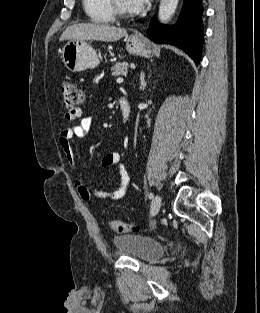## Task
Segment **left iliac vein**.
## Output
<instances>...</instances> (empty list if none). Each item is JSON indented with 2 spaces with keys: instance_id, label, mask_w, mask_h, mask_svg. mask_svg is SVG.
<instances>
[{
  "instance_id": "obj_1",
  "label": "left iliac vein",
  "mask_w": 260,
  "mask_h": 313,
  "mask_svg": "<svg viewBox=\"0 0 260 313\" xmlns=\"http://www.w3.org/2000/svg\"><path fill=\"white\" fill-rule=\"evenodd\" d=\"M160 207H161V197L159 195H156L151 202L150 215L155 216L159 212Z\"/></svg>"
}]
</instances>
